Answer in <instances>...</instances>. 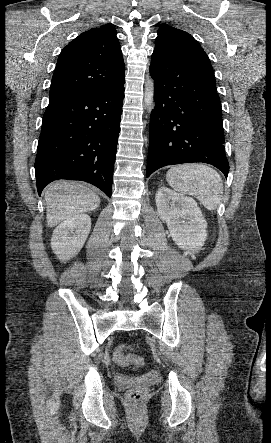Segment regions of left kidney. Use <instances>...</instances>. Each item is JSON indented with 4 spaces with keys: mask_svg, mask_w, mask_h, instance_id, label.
Listing matches in <instances>:
<instances>
[{
    "mask_svg": "<svg viewBox=\"0 0 271 443\" xmlns=\"http://www.w3.org/2000/svg\"><path fill=\"white\" fill-rule=\"evenodd\" d=\"M157 212L168 225L170 235L184 253L202 249L207 237V222L193 198L176 194L161 186L156 194Z\"/></svg>",
    "mask_w": 271,
    "mask_h": 443,
    "instance_id": "obj_1",
    "label": "left kidney"
}]
</instances>
